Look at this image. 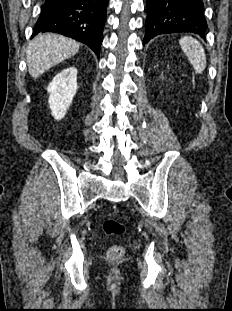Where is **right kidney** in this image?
Returning <instances> with one entry per match:
<instances>
[{"mask_svg": "<svg viewBox=\"0 0 232 311\" xmlns=\"http://www.w3.org/2000/svg\"><path fill=\"white\" fill-rule=\"evenodd\" d=\"M47 91L50 93L48 103L52 116L56 120L64 118L77 92V69L69 67L57 74Z\"/></svg>", "mask_w": 232, "mask_h": 311, "instance_id": "ca27d5eb", "label": "right kidney"}]
</instances>
